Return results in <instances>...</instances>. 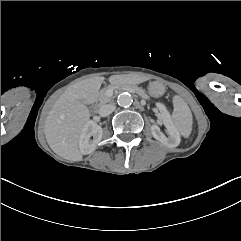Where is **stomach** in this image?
Returning <instances> with one entry per match:
<instances>
[{
  "instance_id": "obj_1",
  "label": "stomach",
  "mask_w": 241,
  "mask_h": 241,
  "mask_svg": "<svg viewBox=\"0 0 241 241\" xmlns=\"http://www.w3.org/2000/svg\"><path fill=\"white\" fill-rule=\"evenodd\" d=\"M166 91V87L163 83L158 81L150 82L148 85V92L153 97H160L162 96Z\"/></svg>"
}]
</instances>
